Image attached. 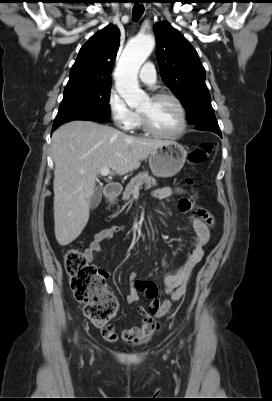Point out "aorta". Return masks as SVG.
I'll return each mask as SVG.
<instances>
[{
	"instance_id": "aorta-1",
	"label": "aorta",
	"mask_w": 272,
	"mask_h": 401,
	"mask_svg": "<svg viewBox=\"0 0 272 401\" xmlns=\"http://www.w3.org/2000/svg\"><path fill=\"white\" fill-rule=\"evenodd\" d=\"M154 38L150 35L136 37L125 47L115 69V84L119 95L128 106L137 107L147 99L140 89L138 72L154 48Z\"/></svg>"
}]
</instances>
